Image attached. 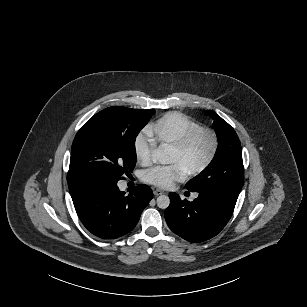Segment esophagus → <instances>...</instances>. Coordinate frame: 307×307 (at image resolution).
<instances>
[{
	"mask_svg": "<svg viewBox=\"0 0 307 307\" xmlns=\"http://www.w3.org/2000/svg\"><path fill=\"white\" fill-rule=\"evenodd\" d=\"M162 194H164V192H163L162 190L156 189V190L154 191V195H155V196H159V195H162Z\"/></svg>",
	"mask_w": 307,
	"mask_h": 307,
	"instance_id": "34e87169",
	"label": "esophagus"
}]
</instances>
